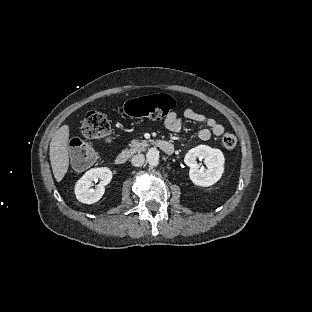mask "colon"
<instances>
[{"label":"colon","instance_id":"colon-1","mask_svg":"<svg viewBox=\"0 0 312 312\" xmlns=\"http://www.w3.org/2000/svg\"><path fill=\"white\" fill-rule=\"evenodd\" d=\"M173 98L167 94H158L132 99L123 105V114L131 117H145L147 119L160 120L168 115L173 108ZM81 133L92 139H106L111 133L109 119L98 110H90L86 113L81 124ZM237 139L234 135L228 134L223 138V145L226 149H233ZM72 159L76 164L85 167L96 159L95 152L87 147L73 149Z\"/></svg>","mask_w":312,"mask_h":312}]
</instances>
